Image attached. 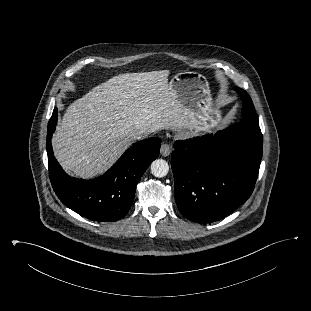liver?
<instances>
[{
    "label": "liver",
    "instance_id": "1",
    "mask_svg": "<svg viewBox=\"0 0 311 311\" xmlns=\"http://www.w3.org/2000/svg\"><path fill=\"white\" fill-rule=\"evenodd\" d=\"M169 73L119 74L70 104L52 139L61 166L91 178L115 162L134 133L191 127V112L176 99Z\"/></svg>",
    "mask_w": 311,
    "mask_h": 311
}]
</instances>
